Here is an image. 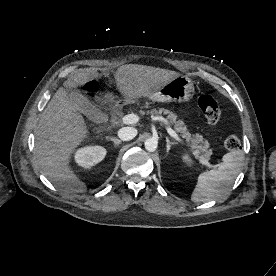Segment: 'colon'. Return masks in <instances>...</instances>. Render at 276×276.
I'll return each mask as SVG.
<instances>
[{
  "mask_svg": "<svg viewBox=\"0 0 276 276\" xmlns=\"http://www.w3.org/2000/svg\"><path fill=\"white\" fill-rule=\"evenodd\" d=\"M198 106L210 124L217 125L222 122V113L217 100L208 92L201 91L197 95ZM224 146L229 151H235L240 147L239 138L235 135L228 136Z\"/></svg>",
  "mask_w": 276,
  "mask_h": 276,
  "instance_id": "colon-1",
  "label": "colon"
}]
</instances>
